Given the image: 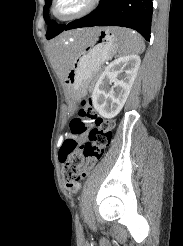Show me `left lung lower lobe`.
<instances>
[{
    "label": "left lung lower lobe",
    "instance_id": "obj_1",
    "mask_svg": "<svg viewBox=\"0 0 183 246\" xmlns=\"http://www.w3.org/2000/svg\"><path fill=\"white\" fill-rule=\"evenodd\" d=\"M152 14V0H100L98 7L91 14L70 22L64 30L121 26L136 30L149 41Z\"/></svg>",
    "mask_w": 183,
    "mask_h": 246
}]
</instances>
